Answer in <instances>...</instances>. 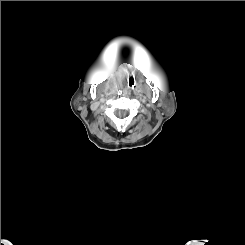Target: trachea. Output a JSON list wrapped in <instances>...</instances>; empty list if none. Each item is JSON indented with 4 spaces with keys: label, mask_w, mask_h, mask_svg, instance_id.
<instances>
[{
    "label": "trachea",
    "mask_w": 245,
    "mask_h": 245,
    "mask_svg": "<svg viewBox=\"0 0 245 245\" xmlns=\"http://www.w3.org/2000/svg\"><path fill=\"white\" fill-rule=\"evenodd\" d=\"M134 86H135V82H134V80L132 78H130L129 81H128V87L130 89H133Z\"/></svg>",
    "instance_id": "3493384b"
}]
</instances>
